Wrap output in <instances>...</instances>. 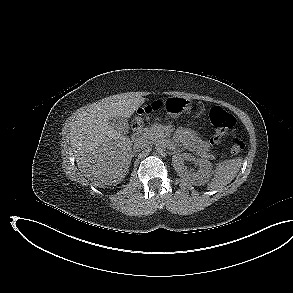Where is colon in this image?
I'll list each match as a JSON object with an SVG mask.
<instances>
[{
    "instance_id": "colon-1",
    "label": "colon",
    "mask_w": 293,
    "mask_h": 293,
    "mask_svg": "<svg viewBox=\"0 0 293 293\" xmlns=\"http://www.w3.org/2000/svg\"><path fill=\"white\" fill-rule=\"evenodd\" d=\"M158 107H159L158 105L154 104V105L143 108L139 112L140 117H137L133 122L134 128H137L139 125H141L142 123L141 116L147 115L151 113L152 111L157 110ZM209 117H210L211 124L215 129V134L212 138L213 143L220 142L221 139L236 124V118L234 117V115L225 111L223 108L219 106H215L210 110ZM244 147H245V144L241 140L235 139L231 143L230 152L232 155H237L244 149Z\"/></svg>"
}]
</instances>
